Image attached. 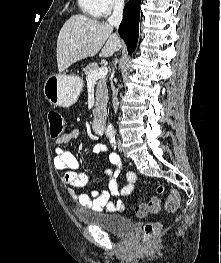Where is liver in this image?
<instances>
[{"label":"liver","instance_id":"obj_1","mask_svg":"<svg viewBox=\"0 0 221 263\" xmlns=\"http://www.w3.org/2000/svg\"><path fill=\"white\" fill-rule=\"evenodd\" d=\"M113 27L85 15H72L61 28L57 39V64L63 72L72 64L95 56L108 58L121 48V40L112 34Z\"/></svg>","mask_w":221,"mask_h":263}]
</instances>
